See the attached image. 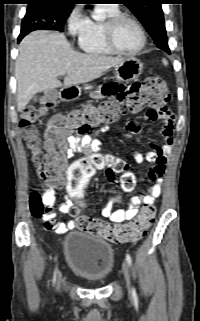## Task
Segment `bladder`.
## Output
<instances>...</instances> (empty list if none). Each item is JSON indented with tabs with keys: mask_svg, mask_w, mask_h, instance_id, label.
<instances>
[{
	"mask_svg": "<svg viewBox=\"0 0 200 321\" xmlns=\"http://www.w3.org/2000/svg\"><path fill=\"white\" fill-rule=\"evenodd\" d=\"M70 269L90 282H104L114 267V249L104 239L83 231H73L63 242Z\"/></svg>",
	"mask_w": 200,
	"mask_h": 321,
	"instance_id": "31cf9c89",
	"label": "bladder"
}]
</instances>
